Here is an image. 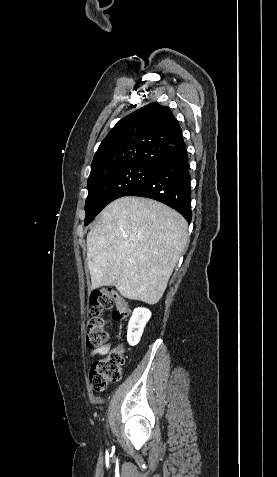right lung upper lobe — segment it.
Masks as SVG:
<instances>
[{"mask_svg":"<svg viewBox=\"0 0 277 477\" xmlns=\"http://www.w3.org/2000/svg\"><path fill=\"white\" fill-rule=\"evenodd\" d=\"M185 147L181 128L171 110L153 102L117 122L101 142L91 173L128 163L157 166Z\"/></svg>","mask_w":277,"mask_h":477,"instance_id":"1","label":"right lung upper lobe"}]
</instances>
